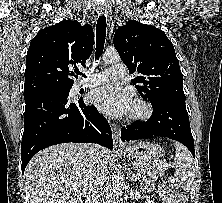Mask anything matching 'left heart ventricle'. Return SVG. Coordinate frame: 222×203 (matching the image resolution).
<instances>
[{"label": "left heart ventricle", "instance_id": "1", "mask_svg": "<svg viewBox=\"0 0 222 203\" xmlns=\"http://www.w3.org/2000/svg\"><path fill=\"white\" fill-rule=\"evenodd\" d=\"M134 110H135V107L132 105L129 112H132Z\"/></svg>", "mask_w": 222, "mask_h": 203}]
</instances>
